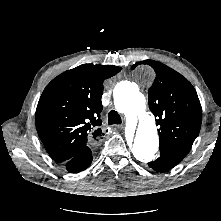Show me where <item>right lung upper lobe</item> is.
<instances>
[{"mask_svg": "<svg viewBox=\"0 0 221 221\" xmlns=\"http://www.w3.org/2000/svg\"><path fill=\"white\" fill-rule=\"evenodd\" d=\"M122 68L83 64L53 79L37 105L36 128L45 149L64 163L102 136L103 82Z\"/></svg>", "mask_w": 221, "mask_h": 221, "instance_id": "cb5924a9", "label": "right lung upper lobe"}]
</instances>
